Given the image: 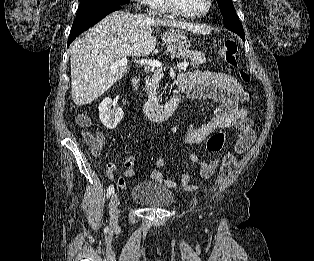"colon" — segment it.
<instances>
[{
  "mask_svg": "<svg viewBox=\"0 0 314 261\" xmlns=\"http://www.w3.org/2000/svg\"><path fill=\"white\" fill-rule=\"evenodd\" d=\"M219 54L228 66L232 68H237L238 44L235 40L233 39L225 40L222 47L219 49ZM238 76L240 80L244 83H248L250 81V76L244 70H240L238 72ZM240 101L242 104H249L251 101V96L248 93H244L241 96ZM78 121L83 126H89V121L87 117L84 115H80L78 117ZM85 137H86V140L89 142V144L92 146V148L95 151H99L104 143V138L99 133L88 131L86 132ZM225 139H226V132L223 129L212 134L206 142L207 152L210 154L219 152L224 145Z\"/></svg>",
  "mask_w": 314,
  "mask_h": 261,
  "instance_id": "colon-1",
  "label": "colon"
}]
</instances>
